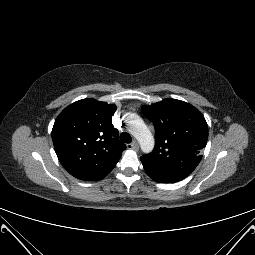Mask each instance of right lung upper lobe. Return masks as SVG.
Instances as JSON below:
<instances>
[{
  "label": "right lung upper lobe",
  "mask_w": 255,
  "mask_h": 255,
  "mask_svg": "<svg viewBox=\"0 0 255 255\" xmlns=\"http://www.w3.org/2000/svg\"><path fill=\"white\" fill-rule=\"evenodd\" d=\"M115 105L92 98L76 101L57 117L52 140L60 163L74 177L98 181L115 167L126 149L111 118Z\"/></svg>",
  "instance_id": "cb5924a9"
}]
</instances>
